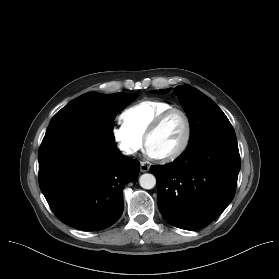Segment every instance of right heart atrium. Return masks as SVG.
Segmentation results:
<instances>
[{
  "label": "right heart atrium",
  "instance_id": "right-heart-atrium-1",
  "mask_svg": "<svg viewBox=\"0 0 279 279\" xmlns=\"http://www.w3.org/2000/svg\"><path fill=\"white\" fill-rule=\"evenodd\" d=\"M112 137L119 151L126 156L135 155L144 146V139L121 121L113 126Z\"/></svg>",
  "mask_w": 279,
  "mask_h": 279
}]
</instances>
